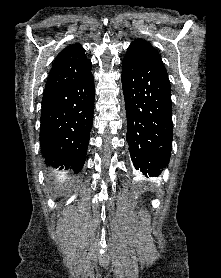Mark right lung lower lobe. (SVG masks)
<instances>
[{"mask_svg":"<svg viewBox=\"0 0 221 278\" xmlns=\"http://www.w3.org/2000/svg\"><path fill=\"white\" fill-rule=\"evenodd\" d=\"M93 111L92 73L70 84L44 91L40 146L53 177L68 180L82 169Z\"/></svg>","mask_w":221,"mask_h":278,"instance_id":"1","label":"right lung lower lobe"}]
</instances>
